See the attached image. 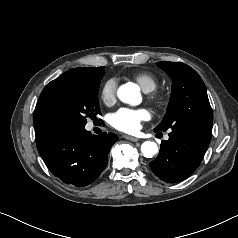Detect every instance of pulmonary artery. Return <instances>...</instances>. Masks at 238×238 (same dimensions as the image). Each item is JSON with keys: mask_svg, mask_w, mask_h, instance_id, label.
<instances>
[{"mask_svg": "<svg viewBox=\"0 0 238 238\" xmlns=\"http://www.w3.org/2000/svg\"><path fill=\"white\" fill-rule=\"evenodd\" d=\"M166 139H168V135H166Z\"/></svg>", "mask_w": 238, "mask_h": 238, "instance_id": "obj_1", "label": "pulmonary artery"}]
</instances>
